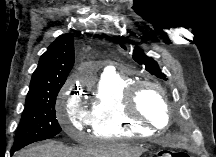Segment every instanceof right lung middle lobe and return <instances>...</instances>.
<instances>
[{
    "mask_svg": "<svg viewBox=\"0 0 216 157\" xmlns=\"http://www.w3.org/2000/svg\"><path fill=\"white\" fill-rule=\"evenodd\" d=\"M58 92L26 99L25 109L11 150H19L28 144L51 138L61 132L55 114Z\"/></svg>",
    "mask_w": 216,
    "mask_h": 157,
    "instance_id": "dd1d6c3e",
    "label": "right lung middle lobe"
}]
</instances>
